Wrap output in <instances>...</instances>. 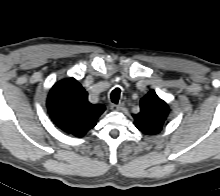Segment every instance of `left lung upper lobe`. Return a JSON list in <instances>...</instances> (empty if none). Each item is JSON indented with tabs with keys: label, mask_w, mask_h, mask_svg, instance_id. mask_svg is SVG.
<instances>
[{
	"label": "left lung upper lobe",
	"mask_w": 220,
	"mask_h": 196,
	"mask_svg": "<svg viewBox=\"0 0 220 196\" xmlns=\"http://www.w3.org/2000/svg\"><path fill=\"white\" fill-rule=\"evenodd\" d=\"M140 109L133 115L135 126L147 135L160 133L169 114L168 105L151 90L140 100Z\"/></svg>",
	"instance_id": "1"
}]
</instances>
